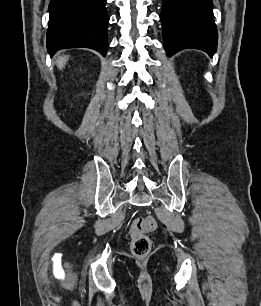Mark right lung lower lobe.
<instances>
[{
  "label": "right lung lower lobe",
  "mask_w": 261,
  "mask_h": 306,
  "mask_svg": "<svg viewBox=\"0 0 261 306\" xmlns=\"http://www.w3.org/2000/svg\"><path fill=\"white\" fill-rule=\"evenodd\" d=\"M106 0H51L47 49L50 55L64 48L85 47L107 52Z\"/></svg>",
  "instance_id": "right-lung-lower-lobe-1"
}]
</instances>
